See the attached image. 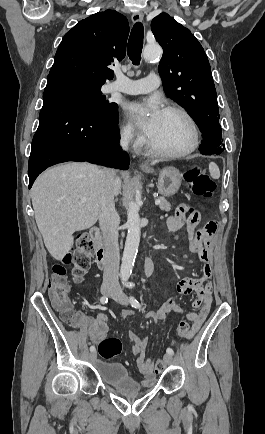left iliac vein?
<instances>
[{
	"instance_id": "obj_1",
	"label": "left iliac vein",
	"mask_w": 265,
	"mask_h": 434,
	"mask_svg": "<svg viewBox=\"0 0 265 434\" xmlns=\"http://www.w3.org/2000/svg\"><path fill=\"white\" fill-rule=\"evenodd\" d=\"M111 297L116 300L118 303L122 305H128V297L126 294H124L120 289L115 288L114 291L111 293ZM173 362V356L171 354H165L164 355V363L163 365L165 367L169 366Z\"/></svg>"
}]
</instances>
